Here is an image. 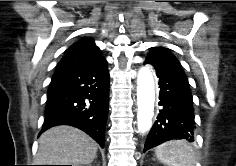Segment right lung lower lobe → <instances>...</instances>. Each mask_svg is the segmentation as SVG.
<instances>
[{
    "instance_id": "98d812e1",
    "label": "right lung lower lobe",
    "mask_w": 236,
    "mask_h": 166,
    "mask_svg": "<svg viewBox=\"0 0 236 166\" xmlns=\"http://www.w3.org/2000/svg\"><path fill=\"white\" fill-rule=\"evenodd\" d=\"M108 98L107 61L87 69L56 71L48 89L41 133L56 125H70L104 148Z\"/></svg>"
}]
</instances>
